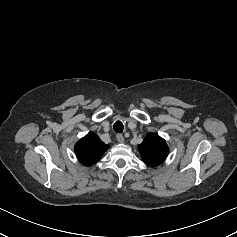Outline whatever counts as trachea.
<instances>
[{
    "label": "trachea",
    "instance_id": "3493384b",
    "mask_svg": "<svg viewBox=\"0 0 237 237\" xmlns=\"http://www.w3.org/2000/svg\"><path fill=\"white\" fill-rule=\"evenodd\" d=\"M113 128H114V131H115V132L121 133V132L123 131V124H122V122H121V121H116V122L114 123Z\"/></svg>",
    "mask_w": 237,
    "mask_h": 237
}]
</instances>
